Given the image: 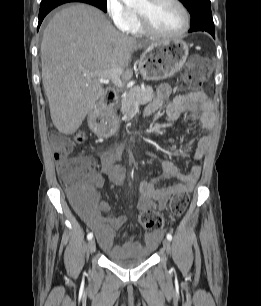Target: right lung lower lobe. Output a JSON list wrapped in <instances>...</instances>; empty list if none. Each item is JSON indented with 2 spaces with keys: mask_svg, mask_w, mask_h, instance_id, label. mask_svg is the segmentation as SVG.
I'll return each instance as SVG.
<instances>
[{
  "mask_svg": "<svg viewBox=\"0 0 261 306\" xmlns=\"http://www.w3.org/2000/svg\"><path fill=\"white\" fill-rule=\"evenodd\" d=\"M63 3L59 2V3H51V4H47V5H43L40 6V12H39V23H38V29L44 19V17L55 7L61 5Z\"/></svg>",
  "mask_w": 261,
  "mask_h": 306,
  "instance_id": "98d812e1",
  "label": "right lung lower lobe"
}]
</instances>
